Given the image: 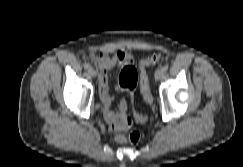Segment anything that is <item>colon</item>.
Instances as JSON below:
<instances>
[{"instance_id": "obj_1", "label": "colon", "mask_w": 243, "mask_h": 167, "mask_svg": "<svg viewBox=\"0 0 243 167\" xmlns=\"http://www.w3.org/2000/svg\"><path fill=\"white\" fill-rule=\"evenodd\" d=\"M161 60V55L158 53H153L147 57L141 58L137 61L136 66L140 71V79L137 70L130 65H126L122 68L119 74V84L120 86L128 91L131 95L134 93L138 81L140 85V91L144 100L148 104H152L153 96L149 86V80L147 75V68L157 64ZM146 115H138L137 120L139 122L146 121ZM132 125V121L129 117L123 115L119 121L114 123L110 130L114 133L117 142H129L136 143L140 139V132L136 129L131 130L128 134L123 132L129 129Z\"/></svg>"}]
</instances>
